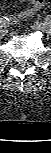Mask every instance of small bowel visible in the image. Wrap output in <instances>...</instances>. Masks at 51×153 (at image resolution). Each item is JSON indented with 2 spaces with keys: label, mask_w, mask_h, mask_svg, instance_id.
<instances>
[{
  "label": "small bowel",
  "mask_w": 51,
  "mask_h": 153,
  "mask_svg": "<svg viewBox=\"0 0 51 153\" xmlns=\"http://www.w3.org/2000/svg\"><path fill=\"white\" fill-rule=\"evenodd\" d=\"M18 2L23 3V2H25V0H18ZM44 5H45V0H43L40 5H36L35 0H31V7L30 8H28L26 10L19 11L14 14H10L8 16L9 21L17 22L21 19H24V18L34 14L35 12L41 10L44 7Z\"/></svg>",
  "instance_id": "small-bowel-1"
}]
</instances>
